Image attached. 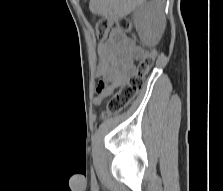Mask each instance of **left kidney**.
<instances>
[{
	"label": "left kidney",
	"instance_id": "left-kidney-1",
	"mask_svg": "<svg viewBox=\"0 0 223 191\" xmlns=\"http://www.w3.org/2000/svg\"><path fill=\"white\" fill-rule=\"evenodd\" d=\"M164 0L144 4L135 16V26L141 41L153 46L158 43L165 28Z\"/></svg>",
	"mask_w": 223,
	"mask_h": 191
}]
</instances>
